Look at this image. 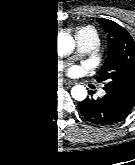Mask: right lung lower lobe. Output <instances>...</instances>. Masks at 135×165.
<instances>
[{
    "label": "right lung lower lobe",
    "mask_w": 135,
    "mask_h": 165,
    "mask_svg": "<svg viewBox=\"0 0 135 165\" xmlns=\"http://www.w3.org/2000/svg\"><path fill=\"white\" fill-rule=\"evenodd\" d=\"M55 88L53 80L43 85L0 80V123L35 127L49 111Z\"/></svg>",
    "instance_id": "98d812e1"
}]
</instances>
